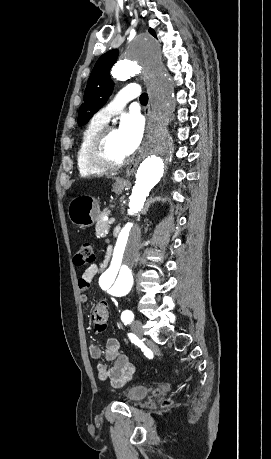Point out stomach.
<instances>
[{"mask_svg": "<svg viewBox=\"0 0 271 459\" xmlns=\"http://www.w3.org/2000/svg\"><path fill=\"white\" fill-rule=\"evenodd\" d=\"M125 186H113L112 192L121 194ZM99 204L91 196H78L73 198L68 206L70 222L78 228H90L99 218Z\"/></svg>", "mask_w": 271, "mask_h": 459, "instance_id": "0dacf381", "label": "stomach"}]
</instances>
